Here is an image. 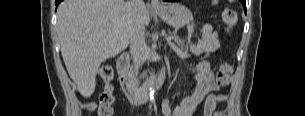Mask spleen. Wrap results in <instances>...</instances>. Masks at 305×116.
<instances>
[{
  "label": "spleen",
  "instance_id": "3e777b00",
  "mask_svg": "<svg viewBox=\"0 0 305 116\" xmlns=\"http://www.w3.org/2000/svg\"><path fill=\"white\" fill-rule=\"evenodd\" d=\"M217 3H218L217 1H212V4H213V5H215V4H217Z\"/></svg>",
  "mask_w": 305,
  "mask_h": 116
}]
</instances>
